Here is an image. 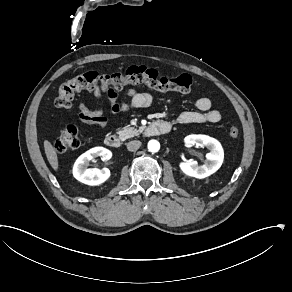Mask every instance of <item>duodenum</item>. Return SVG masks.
Wrapping results in <instances>:
<instances>
[{
    "instance_id": "410a0bca",
    "label": "duodenum",
    "mask_w": 292,
    "mask_h": 292,
    "mask_svg": "<svg viewBox=\"0 0 292 292\" xmlns=\"http://www.w3.org/2000/svg\"><path fill=\"white\" fill-rule=\"evenodd\" d=\"M172 129V124L166 120H158L144 129L146 137L168 134ZM105 143L108 147L117 149L121 145V140L118 135L110 134L105 138Z\"/></svg>"
}]
</instances>
